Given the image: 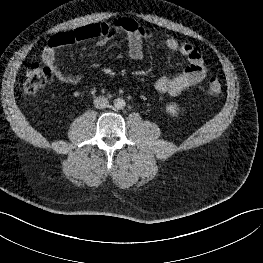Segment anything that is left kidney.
<instances>
[{
	"instance_id": "5707ae66",
	"label": "left kidney",
	"mask_w": 263,
	"mask_h": 263,
	"mask_svg": "<svg viewBox=\"0 0 263 263\" xmlns=\"http://www.w3.org/2000/svg\"><path fill=\"white\" fill-rule=\"evenodd\" d=\"M167 112L175 116L178 114V109L175 105H168L166 108Z\"/></svg>"
}]
</instances>
